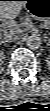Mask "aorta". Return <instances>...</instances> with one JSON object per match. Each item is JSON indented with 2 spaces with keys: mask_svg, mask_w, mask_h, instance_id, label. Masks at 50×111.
<instances>
[{
  "mask_svg": "<svg viewBox=\"0 0 50 111\" xmlns=\"http://www.w3.org/2000/svg\"><path fill=\"white\" fill-rule=\"evenodd\" d=\"M25 43L30 49H38L41 46V39L37 35H30L25 39Z\"/></svg>",
  "mask_w": 50,
  "mask_h": 111,
  "instance_id": "obj_1",
  "label": "aorta"
}]
</instances>
